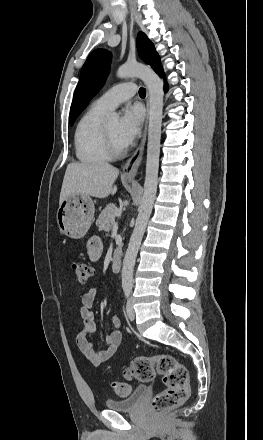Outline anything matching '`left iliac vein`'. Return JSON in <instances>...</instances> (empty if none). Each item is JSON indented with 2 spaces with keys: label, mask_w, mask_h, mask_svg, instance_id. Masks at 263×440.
<instances>
[{
  "label": "left iliac vein",
  "mask_w": 263,
  "mask_h": 440,
  "mask_svg": "<svg viewBox=\"0 0 263 440\" xmlns=\"http://www.w3.org/2000/svg\"><path fill=\"white\" fill-rule=\"evenodd\" d=\"M127 317L130 321H133L135 319V311L133 309V303L132 301L129 299L127 301Z\"/></svg>",
  "instance_id": "1"
}]
</instances>
